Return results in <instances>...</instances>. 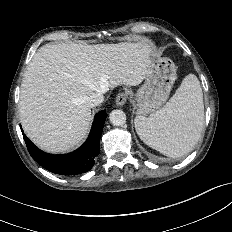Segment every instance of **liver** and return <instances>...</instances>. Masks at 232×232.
<instances>
[{"mask_svg": "<svg viewBox=\"0 0 232 232\" xmlns=\"http://www.w3.org/2000/svg\"><path fill=\"white\" fill-rule=\"evenodd\" d=\"M146 41L118 44H46L34 55L20 92V120L41 149L57 153L78 145L88 132L87 98L118 85H139L153 60Z\"/></svg>", "mask_w": 232, "mask_h": 232, "instance_id": "1", "label": "liver"}]
</instances>
